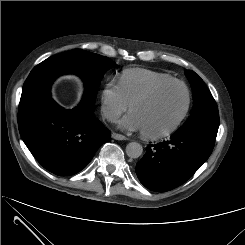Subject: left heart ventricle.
Returning <instances> with one entry per match:
<instances>
[{
    "label": "left heart ventricle",
    "mask_w": 245,
    "mask_h": 245,
    "mask_svg": "<svg viewBox=\"0 0 245 245\" xmlns=\"http://www.w3.org/2000/svg\"><path fill=\"white\" fill-rule=\"evenodd\" d=\"M186 104L185 90L178 85L161 89L150 100L135 105L131 113L138 118L142 131L158 133L170 128Z\"/></svg>",
    "instance_id": "b2bd125f"
}]
</instances>
